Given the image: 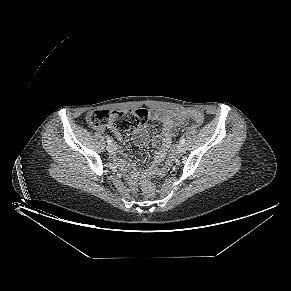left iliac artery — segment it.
<instances>
[{
	"label": "left iliac artery",
	"mask_w": 291,
	"mask_h": 291,
	"mask_svg": "<svg viewBox=\"0 0 291 291\" xmlns=\"http://www.w3.org/2000/svg\"><path fill=\"white\" fill-rule=\"evenodd\" d=\"M185 141H186V140H185L184 138H182V139L180 140V143H181V144H184Z\"/></svg>",
	"instance_id": "1"
}]
</instances>
